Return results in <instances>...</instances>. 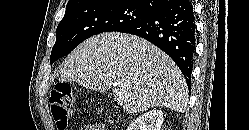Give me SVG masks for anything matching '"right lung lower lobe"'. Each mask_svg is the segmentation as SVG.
<instances>
[{
    "label": "right lung lower lobe",
    "instance_id": "1",
    "mask_svg": "<svg viewBox=\"0 0 249 130\" xmlns=\"http://www.w3.org/2000/svg\"><path fill=\"white\" fill-rule=\"evenodd\" d=\"M120 32L140 36L168 54L190 86L196 42L193 7L188 0H171L149 18Z\"/></svg>",
    "mask_w": 249,
    "mask_h": 130
}]
</instances>
